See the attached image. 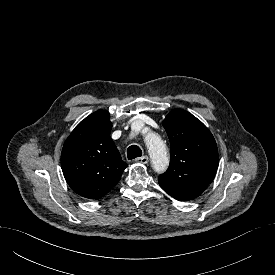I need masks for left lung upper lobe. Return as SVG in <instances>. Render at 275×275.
<instances>
[{
  "instance_id": "obj_1",
  "label": "left lung upper lobe",
  "mask_w": 275,
  "mask_h": 275,
  "mask_svg": "<svg viewBox=\"0 0 275 275\" xmlns=\"http://www.w3.org/2000/svg\"><path fill=\"white\" fill-rule=\"evenodd\" d=\"M170 144V165L159 185L177 200H192L210 184L218 168V149L209 129L195 116L173 109L163 121Z\"/></svg>"
}]
</instances>
